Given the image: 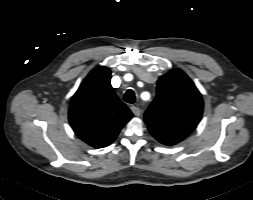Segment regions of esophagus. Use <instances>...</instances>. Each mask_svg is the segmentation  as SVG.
I'll return each instance as SVG.
<instances>
[{
  "label": "esophagus",
  "mask_w": 253,
  "mask_h": 200,
  "mask_svg": "<svg viewBox=\"0 0 253 200\" xmlns=\"http://www.w3.org/2000/svg\"><path fill=\"white\" fill-rule=\"evenodd\" d=\"M131 111L135 116H140L141 115V110L137 106H131Z\"/></svg>",
  "instance_id": "34e87169"
}]
</instances>
